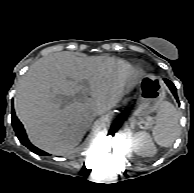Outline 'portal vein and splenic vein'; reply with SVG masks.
<instances>
[{
	"label": "portal vein and splenic vein",
	"mask_w": 194,
	"mask_h": 193,
	"mask_svg": "<svg viewBox=\"0 0 194 193\" xmlns=\"http://www.w3.org/2000/svg\"><path fill=\"white\" fill-rule=\"evenodd\" d=\"M151 119H152V118H149V120H151ZM138 124H144V125H146V126L150 125L149 122H146V121H144L143 119H140L139 122H138Z\"/></svg>",
	"instance_id": "portal-vein-and-splenic-vein-1"
}]
</instances>
